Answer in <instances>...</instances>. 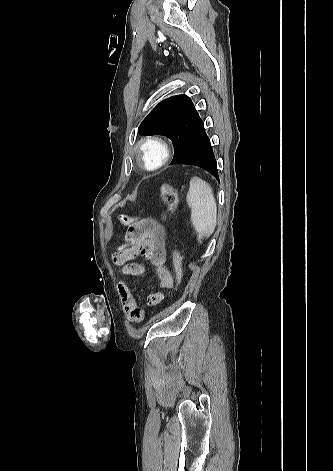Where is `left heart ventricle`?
<instances>
[{
	"label": "left heart ventricle",
	"instance_id": "1",
	"mask_svg": "<svg viewBox=\"0 0 333 471\" xmlns=\"http://www.w3.org/2000/svg\"><path fill=\"white\" fill-rule=\"evenodd\" d=\"M157 157H158L157 151L151 150V151L149 152L148 158H149V161H150V162H153L154 160H156Z\"/></svg>",
	"mask_w": 333,
	"mask_h": 471
}]
</instances>
